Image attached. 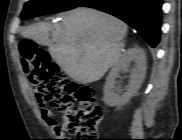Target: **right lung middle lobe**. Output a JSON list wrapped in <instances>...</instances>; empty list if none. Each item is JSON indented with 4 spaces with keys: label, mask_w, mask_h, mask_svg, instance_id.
<instances>
[{
    "label": "right lung middle lobe",
    "mask_w": 182,
    "mask_h": 140,
    "mask_svg": "<svg viewBox=\"0 0 182 140\" xmlns=\"http://www.w3.org/2000/svg\"><path fill=\"white\" fill-rule=\"evenodd\" d=\"M86 0H30L23 8L21 18L23 20L36 16L68 11L79 7Z\"/></svg>",
    "instance_id": "obj_1"
}]
</instances>
